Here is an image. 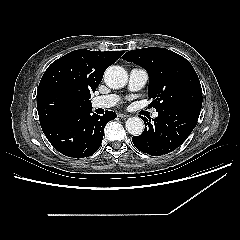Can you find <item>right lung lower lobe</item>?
<instances>
[{"label": "right lung lower lobe", "instance_id": "right-lung-lower-lobe-1", "mask_svg": "<svg viewBox=\"0 0 240 240\" xmlns=\"http://www.w3.org/2000/svg\"><path fill=\"white\" fill-rule=\"evenodd\" d=\"M92 109L74 112L42 128L52 146L63 155L84 158L100 147L107 122L116 113L106 111L103 116L91 114Z\"/></svg>", "mask_w": 240, "mask_h": 240}]
</instances>
